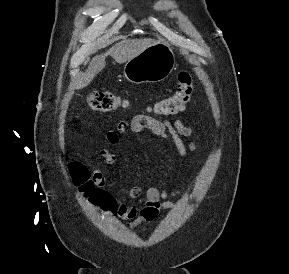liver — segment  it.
Instances as JSON below:
<instances>
[{"label":"liver","mask_w":289,"mask_h":274,"mask_svg":"<svg viewBox=\"0 0 289 274\" xmlns=\"http://www.w3.org/2000/svg\"><path fill=\"white\" fill-rule=\"evenodd\" d=\"M155 43L157 42L150 38L124 39L116 43L106 53L93 57L85 73L77 79L76 88L82 89L90 84L93 78L104 69L107 55H110L117 63H124Z\"/></svg>","instance_id":"1"}]
</instances>
